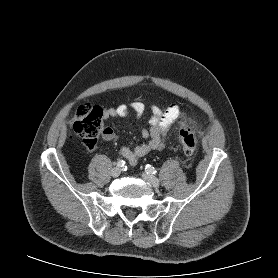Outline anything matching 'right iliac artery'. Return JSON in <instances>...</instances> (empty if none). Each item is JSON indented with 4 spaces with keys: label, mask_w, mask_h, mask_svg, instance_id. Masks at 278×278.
Returning <instances> with one entry per match:
<instances>
[{
    "label": "right iliac artery",
    "mask_w": 278,
    "mask_h": 278,
    "mask_svg": "<svg viewBox=\"0 0 278 278\" xmlns=\"http://www.w3.org/2000/svg\"><path fill=\"white\" fill-rule=\"evenodd\" d=\"M125 165V161H123V160H119L118 162H117V166L118 167H123Z\"/></svg>",
    "instance_id": "right-iliac-artery-1"
}]
</instances>
